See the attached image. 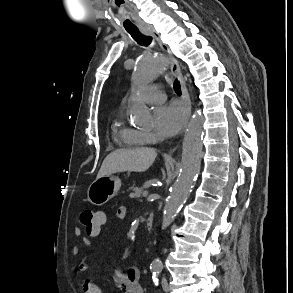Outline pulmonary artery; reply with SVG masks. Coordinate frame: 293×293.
Returning <instances> with one entry per match:
<instances>
[{"label":"pulmonary artery","mask_w":293,"mask_h":293,"mask_svg":"<svg viewBox=\"0 0 293 293\" xmlns=\"http://www.w3.org/2000/svg\"><path fill=\"white\" fill-rule=\"evenodd\" d=\"M140 97L146 103L158 104L165 100L166 95L162 91L158 90L156 86H147L142 89Z\"/></svg>","instance_id":"e3ab8cb5"}]
</instances>
